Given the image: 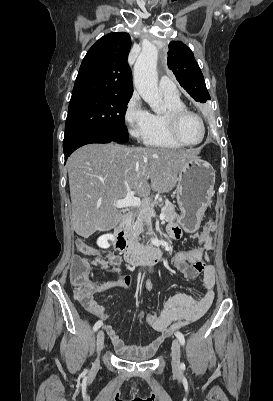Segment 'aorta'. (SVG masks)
Listing matches in <instances>:
<instances>
[{
	"label": "aorta",
	"mask_w": 273,
	"mask_h": 401,
	"mask_svg": "<svg viewBox=\"0 0 273 401\" xmlns=\"http://www.w3.org/2000/svg\"><path fill=\"white\" fill-rule=\"evenodd\" d=\"M157 58L155 46H145L134 65V84L143 100L154 112L159 111L162 97L157 87Z\"/></svg>",
	"instance_id": "aorta-1"
}]
</instances>
